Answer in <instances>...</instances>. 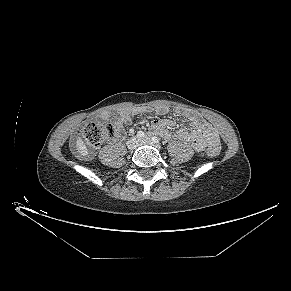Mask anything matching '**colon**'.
Listing matches in <instances>:
<instances>
[{
	"label": "colon",
	"instance_id": "1",
	"mask_svg": "<svg viewBox=\"0 0 291 291\" xmlns=\"http://www.w3.org/2000/svg\"><path fill=\"white\" fill-rule=\"evenodd\" d=\"M154 111V109L143 108L136 112L137 116H148ZM174 114H180L181 111L174 109L172 110ZM122 131V128L118 124L108 123L104 120H97L93 124H84L82 127L81 133L85 135L92 143L102 144L108 140L116 137ZM220 148L219 146L209 148L207 154L210 159L214 160L219 155Z\"/></svg>",
	"mask_w": 291,
	"mask_h": 291
}]
</instances>
